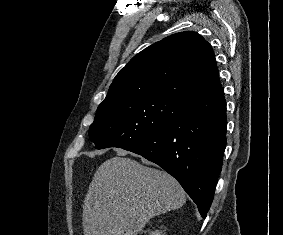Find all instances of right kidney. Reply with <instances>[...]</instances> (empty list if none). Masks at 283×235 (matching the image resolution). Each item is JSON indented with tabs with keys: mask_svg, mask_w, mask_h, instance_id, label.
Instances as JSON below:
<instances>
[{
	"mask_svg": "<svg viewBox=\"0 0 283 235\" xmlns=\"http://www.w3.org/2000/svg\"><path fill=\"white\" fill-rule=\"evenodd\" d=\"M150 235H164V234H162L161 232L155 231V232H152V234Z\"/></svg>",
	"mask_w": 283,
	"mask_h": 235,
	"instance_id": "right-kidney-1",
	"label": "right kidney"
}]
</instances>
